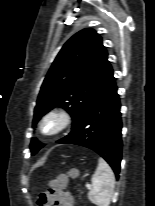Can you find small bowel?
Listing matches in <instances>:
<instances>
[{"label":"small bowel","mask_w":155,"mask_h":206,"mask_svg":"<svg viewBox=\"0 0 155 206\" xmlns=\"http://www.w3.org/2000/svg\"><path fill=\"white\" fill-rule=\"evenodd\" d=\"M45 197V206H75L73 196L62 188H51L50 192L46 194Z\"/></svg>","instance_id":"1"}]
</instances>
